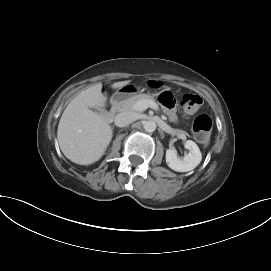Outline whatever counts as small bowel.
<instances>
[{
  "label": "small bowel",
  "instance_id": "obj_1",
  "mask_svg": "<svg viewBox=\"0 0 271 271\" xmlns=\"http://www.w3.org/2000/svg\"><path fill=\"white\" fill-rule=\"evenodd\" d=\"M173 106L171 107H167V113L169 115V117L172 119V120H175L176 119V115H175V112L172 108Z\"/></svg>",
  "mask_w": 271,
  "mask_h": 271
}]
</instances>
